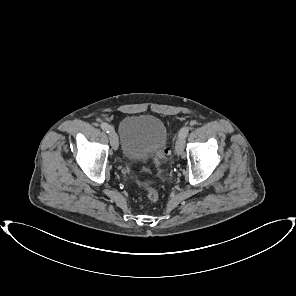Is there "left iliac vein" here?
<instances>
[{
    "mask_svg": "<svg viewBox=\"0 0 296 296\" xmlns=\"http://www.w3.org/2000/svg\"><path fill=\"white\" fill-rule=\"evenodd\" d=\"M184 144H185V138L179 136L176 141V145H175L176 153L179 156L183 155V153H184Z\"/></svg>",
    "mask_w": 296,
    "mask_h": 296,
    "instance_id": "1",
    "label": "left iliac vein"
}]
</instances>
